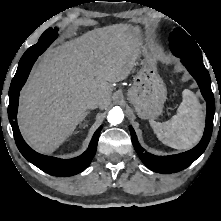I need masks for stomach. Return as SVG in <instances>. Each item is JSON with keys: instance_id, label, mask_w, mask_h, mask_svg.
<instances>
[{"instance_id": "stomach-1", "label": "stomach", "mask_w": 221, "mask_h": 221, "mask_svg": "<svg viewBox=\"0 0 221 221\" xmlns=\"http://www.w3.org/2000/svg\"><path fill=\"white\" fill-rule=\"evenodd\" d=\"M130 30L137 34V28L130 27ZM141 56L142 67L135 76L127 97L139 117L154 119L163 111L167 89L157 72L158 55L153 50L143 47Z\"/></svg>"}]
</instances>
